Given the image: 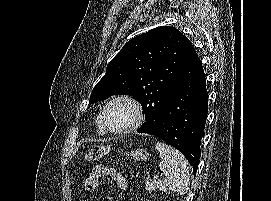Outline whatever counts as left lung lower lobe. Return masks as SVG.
<instances>
[{
	"label": "left lung lower lobe",
	"mask_w": 271,
	"mask_h": 201,
	"mask_svg": "<svg viewBox=\"0 0 271 201\" xmlns=\"http://www.w3.org/2000/svg\"><path fill=\"white\" fill-rule=\"evenodd\" d=\"M206 77L202 62L186 38L178 79L161 112L156 129L138 132L155 135L178 149L193 166L196 174L200 159V144L208 112Z\"/></svg>",
	"instance_id": "0a47b994"
}]
</instances>
